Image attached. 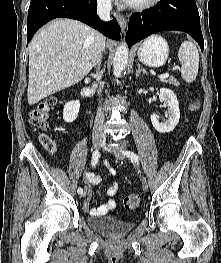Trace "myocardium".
<instances>
[{"instance_id": "f54148a6", "label": "myocardium", "mask_w": 221, "mask_h": 263, "mask_svg": "<svg viewBox=\"0 0 221 263\" xmlns=\"http://www.w3.org/2000/svg\"><path fill=\"white\" fill-rule=\"evenodd\" d=\"M159 0H143L138 2H133L130 7L136 11H144L153 8Z\"/></svg>"}]
</instances>
